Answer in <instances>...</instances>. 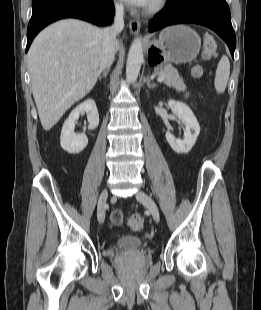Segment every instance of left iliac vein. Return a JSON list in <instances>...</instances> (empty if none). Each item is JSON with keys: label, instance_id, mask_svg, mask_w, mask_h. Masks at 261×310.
<instances>
[{"label": "left iliac vein", "instance_id": "1", "mask_svg": "<svg viewBox=\"0 0 261 310\" xmlns=\"http://www.w3.org/2000/svg\"><path fill=\"white\" fill-rule=\"evenodd\" d=\"M136 198L139 202H141L148 208L154 220L158 223L160 221V214H159L158 207L156 203L154 202V200L143 191H138L136 193Z\"/></svg>", "mask_w": 261, "mask_h": 310}]
</instances>
